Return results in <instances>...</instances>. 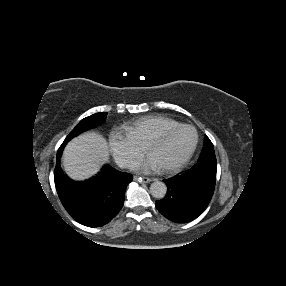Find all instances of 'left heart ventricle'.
Returning <instances> with one entry per match:
<instances>
[{
	"instance_id": "obj_1",
	"label": "left heart ventricle",
	"mask_w": 286,
	"mask_h": 286,
	"mask_svg": "<svg viewBox=\"0 0 286 286\" xmlns=\"http://www.w3.org/2000/svg\"><path fill=\"white\" fill-rule=\"evenodd\" d=\"M195 141V132L192 129H183L163 143L154 146L150 154L160 166L174 164L190 152Z\"/></svg>"
}]
</instances>
